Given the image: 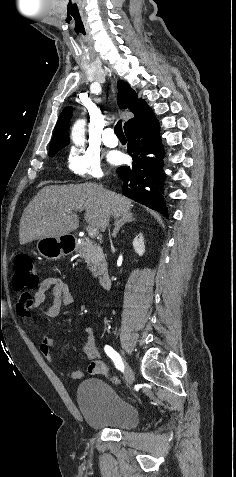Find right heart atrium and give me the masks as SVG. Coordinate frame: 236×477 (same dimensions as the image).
<instances>
[{
  "label": "right heart atrium",
  "mask_w": 236,
  "mask_h": 477,
  "mask_svg": "<svg viewBox=\"0 0 236 477\" xmlns=\"http://www.w3.org/2000/svg\"><path fill=\"white\" fill-rule=\"evenodd\" d=\"M68 170L79 177L100 179L103 176L99 157L82 147H74L67 157Z\"/></svg>",
  "instance_id": "d8ad5b80"
}]
</instances>
